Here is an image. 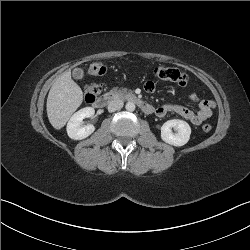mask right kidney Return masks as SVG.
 Masks as SVG:
<instances>
[{"instance_id":"right-kidney-1","label":"right kidney","mask_w":250,"mask_h":250,"mask_svg":"<svg viewBox=\"0 0 250 250\" xmlns=\"http://www.w3.org/2000/svg\"><path fill=\"white\" fill-rule=\"evenodd\" d=\"M95 113L94 108L85 107L72 115L67 124V134L71 139L82 140L90 136L94 131L93 125L81 126L84 118L92 117Z\"/></svg>"}]
</instances>
